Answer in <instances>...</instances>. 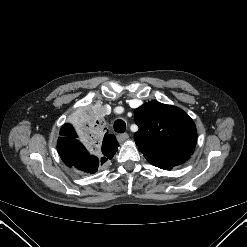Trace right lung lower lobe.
I'll use <instances>...</instances> for the list:
<instances>
[{"instance_id": "right-lung-lower-lobe-1", "label": "right lung lower lobe", "mask_w": 247, "mask_h": 247, "mask_svg": "<svg viewBox=\"0 0 247 247\" xmlns=\"http://www.w3.org/2000/svg\"><path fill=\"white\" fill-rule=\"evenodd\" d=\"M57 149L62 160L69 167H75L85 172H94L101 165L76 138L60 137Z\"/></svg>"}]
</instances>
